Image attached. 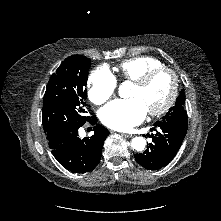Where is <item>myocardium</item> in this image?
Here are the masks:
<instances>
[{"label":"myocardium","mask_w":221,"mask_h":221,"mask_svg":"<svg viewBox=\"0 0 221 221\" xmlns=\"http://www.w3.org/2000/svg\"><path fill=\"white\" fill-rule=\"evenodd\" d=\"M160 73H168L171 76L172 87L166 102L161 107L148 111L149 115L153 117L165 114L175 103L179 91V78L177 73L169 67L161 66L146 72L134 81V85L138 87H144L147 84H149Z\"/></svg>","instance_id":"obj_1"}]
</instances>
